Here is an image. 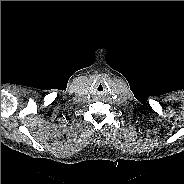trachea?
<instances>
[{
    "mask_svg": "<svg viewBox=\"0 0 184 184\" xmlns=\"http://www.w3.org/2000/svg\"><path fill=\"white\" fill-rule=\"evenodd\" d=\"M94 89L97 93H103L105 91V84L102 81L95 83Z\"/></svg>",
    "mask_w": 184,
    "mask_h": 184,
    "instance_id": "3493384b",
    "label": "trachea"
}]
</instances>
